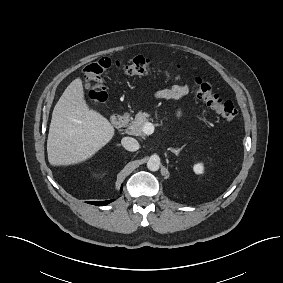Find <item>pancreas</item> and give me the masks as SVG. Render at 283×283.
I'll use <instances>...</instances> for the list:
<instances>
[{"instance_id": "cf45deb5", "label": "pancreas", "mask_w": 283, "mask_h": 283, "mask_svg": "<svg viewBox=\"0 0 283 283\" xmlns=\"http://www.w3.org/2000/svg\"><path fill=\"white\" fill-rule=\"evenodd\" d=\"M149 117V113L138 112L135 119L129 124L128 134L143 137V126L151 120Z\"/></svg>"}]
</instances>
